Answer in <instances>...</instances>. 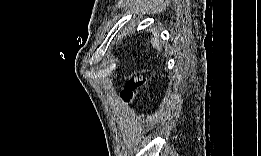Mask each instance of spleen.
Listing matches in <instances>:
<instances>
[{"instance_id": "obj_1", "label": "spleen", "mask_w": 261, "mask_h": 156, "mask_svg": "<svg viewBox=\"0 0 261 156\" xmlns=\"http://www.w3.org/2000/svg\"><path fill=\"white\" fill-rule=\"evenodd\" d=\"M152 46L157 49L159 52L162 51V42L159 40L158 37H154L151 39Z\"/></svg>"}]
</instances>
